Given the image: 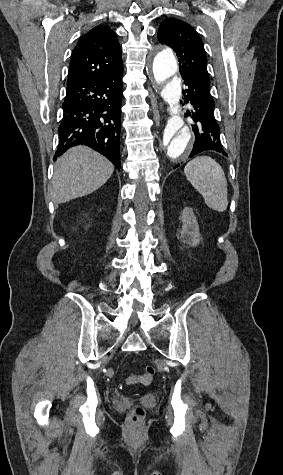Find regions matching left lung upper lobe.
<instances>
[{
  "label": "left lung upper lobe",
  "instance_id": "obj_1",
  "mask_svg": "<svg viewBox=\"0 0 283 475\" xmlns=\"http://www.w3.org/2000/svg\"><path fill=\"white\" fill-rule=\"evenodd\" d=\"M161 44L170 46L179 57L180 72H195L209 77L207 57L198 33L186 22L170 18L157 33Z\"/></svg>",
  "mask_w": 283,
  "mask_h": 475
}]
</instances>
